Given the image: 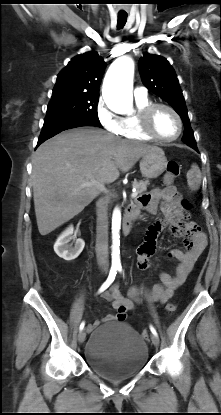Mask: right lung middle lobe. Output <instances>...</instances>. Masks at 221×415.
I'll return each instance as SVG.
<instances>
[{"instance_id":"right-lung-middle-lobe-1","label":"right lung middle lobe","mask_w":221,"mask_h":415,"mask_svg":"<svg viewBox=\"0 0 221 415\" xmlns=\"http://www.w3.org/2000/svg\"><path fill=\"white\" fill-rule=\"evenodd\" d=\"M99 94L84 92H61L52 94L47 115L77 117L90 120L101 126L97 115Z\"/></svg>"}]
</instances>
